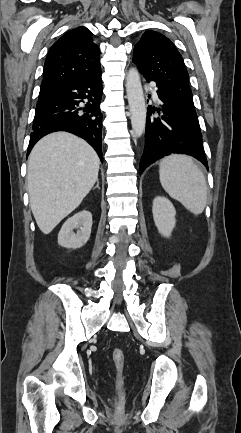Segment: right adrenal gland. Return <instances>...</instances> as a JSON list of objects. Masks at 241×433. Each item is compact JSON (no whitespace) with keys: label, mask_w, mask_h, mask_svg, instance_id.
Returning <instances> with one entry per match:
<instances>
[{"label":"right adrenal gland","mask_w":241,"mask_h":433,"mask_svg":"<svg viewBox=\"0 0 241 433\" xmlns=\"http://www.w3.org/2000/svg\"><path fill=\"white\" fill-rule=\"evenodd\" d=\"M94 188L100 189V187H99V180L98 179H97V184H96V186Z\"/></svg>","instance_id":"1"}]
</instances>
